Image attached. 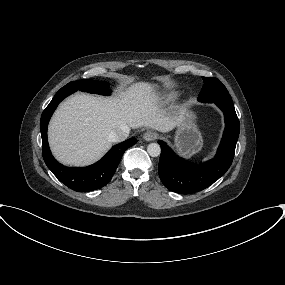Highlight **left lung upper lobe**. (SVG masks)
Here are the masks:
<instances>
[{"label": "left lung upper lobe", "mask_w": 285, "mask_h": 285, "mask_svg": "<svg viewBox=\"0 0 285 285\" xmlns=\"http://www.w3.org/2000/svg\"><path fill=\"white\" fill-rule=\"evenodd\" d=\"M204 86L198 95V100L205 103H221L232 106V98L226 87L214 77H202Z\"/></svg>", "instance_id": "1"}]
</instances>
